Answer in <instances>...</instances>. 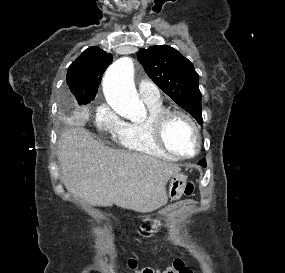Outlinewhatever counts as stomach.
I'll list each match as a JSON object with an SVG mask.
<instances>
[{"instance_id":"stomach-1","label":"stomach","mask_w":285,"mask_h":273,"mask_svg":"<svg viewBox=\"0 0 285 273\" xmlns=\"http://www.w3.org/2000/svg\"><path fill=\"white\" fill-rule=\"evenodd\" d=\"M187 177L182 173H175L171 176L168 197L171 201L178 200L183 194V189L186 184ZM154 226L151 224H143L141 226L142 233H150L153 232Z\"/></svg>"}]
</instances>
